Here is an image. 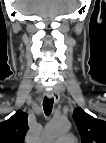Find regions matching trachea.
<instances>
[{
	"instance_id": "1",
	"label": "trachea",
	"mask_w": 106,
	"mask_h": 143,
	"mask_svg": "<svg viewBox=\"0 0 106 143\" xmlns=\"http://www.w3.org/2000/svg\"><path fill=\"white\" fill-rule=\"evenodd\" d=\"M53 103H54V100L49 99L47 97H45V99L43 100V109L46 115H50L52 111Z\"/></svg>"
}]
</instances>
